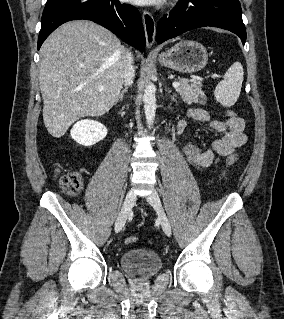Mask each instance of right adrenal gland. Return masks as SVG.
Masks as SVG:
<instances>
[{
    "mask_svg": "<svg viewBox=\"0 0 284 319\" xmlns=\"http://www.w3.org/2000/svg\"><path fill=\"white\" fill-rule=\"evenodd\" d=\"M125 92H127V87H125L122 91H121V93L119 94V96H118V98L116 99V102L115 103H117L119 100H123V95H124V93Z\"/></svg>",
    "mask_w": 284,
    "mask_h": 319,
    "instance_id": "1",
    "label": "right adrenal gland"
}]
</instances>
